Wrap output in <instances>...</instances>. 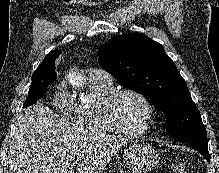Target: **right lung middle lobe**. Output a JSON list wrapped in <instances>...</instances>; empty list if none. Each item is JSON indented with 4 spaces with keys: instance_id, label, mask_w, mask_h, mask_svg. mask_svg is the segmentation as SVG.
Listing matches in <instances>:
<instances>
[{
    "instance_id": "right-lung-middle-lobe-1",
    "label": "right lung middle lobe",
    "mask_w": 219,
    "mask_h": 173,
    "mask_svg": "<svg viewBox=\"0 0 219 173\" xmlns=\"http://www.w3.org/2000/svg\"><path fill=\"white\" fill-rule=\"evenodd\" d=\"M57 76L44 71L34 72L28 97L23 105L24 108L34 104L40 99L46 88L56 80Z\"/></svg>"
}]
</instances>
